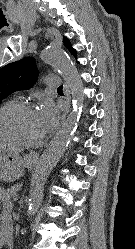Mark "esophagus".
Masks as SVG:
<instances>
[{
  "label": "esophagus",
  "mask_w": 135,
  "mask_h": 249,
  "mask_svg": "<svg viewBox=\"0 0 135 249\" xmlns=\"http://www.w3.org/2000/svg\"><path fill=\"white\" fill-rule=\"evenodd\" d=\"M63 91H64L65 99L67 102V108H66V111H65L64 116H63V120H64L66 118L67 114L69 113L70 107H71V96H70L69 86L67 83L64 84Z\"/></svg>",
  "instance_id": "1"
}]
</instances>
